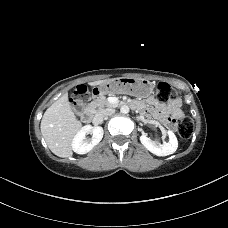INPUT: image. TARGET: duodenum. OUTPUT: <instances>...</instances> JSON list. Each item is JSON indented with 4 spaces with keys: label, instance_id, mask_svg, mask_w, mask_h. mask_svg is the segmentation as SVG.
I'll return each mask as SVG.
<instances>
[{
    "label": "duodenum",
    "instance_id": "410a0bca",
    "mask_svg": "<svg viewBox=\"0 0 228 228\" xmlns=\"http://www.w3.org/2000/svg\"><path fill=\"white\" fill-rule=\"evenodd\" d=\"M92 116H93V114H92V110L91 109L85 110L83 112V115H82L83 122H85V123L91 122Z\"/></svg>",
    "mask_w": 228,
    "mask_h": 228
}]
</instances>
